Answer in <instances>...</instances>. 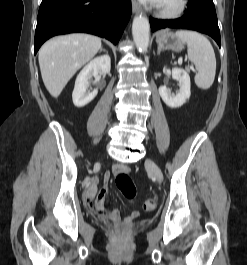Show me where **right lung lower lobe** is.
Wrapping results in <instances>:
<instances>
[{
    "mask_svg": "<svg viewBox=\"0 0 247 265\" xmlns=\"http://www.w3.org/2000/svg\"><path fill=\"white\" fill-rule=\"evenodd\" d=\"M131 16V0H42L35 31V54L50 37L85 32L117 44Z\"/></svg>",
    "mask_w": 247,
    "mask_h": 265,
    "instance_id": "98d812e1",
    "label": "right lung lower lobe"
}]
</instances>
